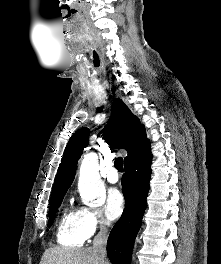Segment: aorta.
Listing matches in <instances>:
<instances>
[{"label": "aorta", "instance_id": "762f6f07", "mask_svg": "<svg viewBox=\"0 0 221 264\" xmlns=\"http://www.w3.org/2000/svg\"><path fill=\"white\" fill-rule=\"evenodd\" d=\"M98 170L96 154L85 155L81 162L78 181V189L84 202L95 201L105 193V187Z\"/></svg>", "mask_w": 221, "mask_h": 264}]
</instances>
